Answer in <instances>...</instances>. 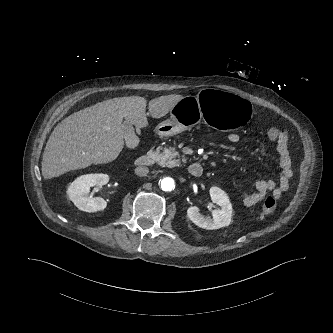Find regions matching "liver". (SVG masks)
Instances as JSON below:
<instances>
[{
    "label": "liver",
    "mask_w": 333,
    "mask_h": 333,
    "mask_svg": "<svg viewBox=\"0 0 333 333\" xmlns=\"http://www.w3.org/2000/svg\"><path fill=\"white\" fill-rule=\"evenodd\" d=\"M183 98L172 94L149 101L153 118L165 116ZM147 101L140 96L109 99L75 112L62 120L51 133L42 159L45 179L92 164L109 163L123 149L122 120L144 128Z\"/></svg>",
    "instance_id": "liver-1"
}]
</instances>
